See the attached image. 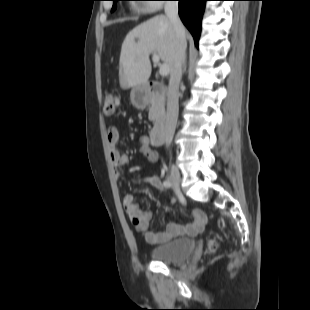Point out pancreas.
I'll return each mask as SVG.
<instances>
[{
    "instance_id": "obj_1",
    "label": "pancreas",
    "mask_w": 310,
    "mask_h": 310,
    "mask_svg": "<svg viewBox=\"0 0 310 310\" xmlns=\"http://www.w3.org/2000/svg\"><path fill=\"white\" fill-rule=\"evenodd\" d=\"M163 113H164L163 102L160 99L154 97L151 101V107L149 108V115H148L149 120L156 122L163 115Z\"/></svg>"
}]
</instances>
